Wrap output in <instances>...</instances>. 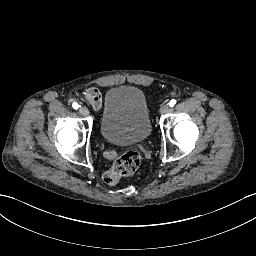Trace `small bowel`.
Returning a JSON list of instances; mask_svg holds the SVG:
<instances>
[{
    "label": "small bowel",
    "mask_w": 256,
    "mask_h": 256,
    "mask_svg": "<svg viewBox=\"0 0 256 256\" xmlns=\"http://www.w3.org/2000/svg\"><path fill=\"white\" fill-rule=\"evenodd\" d=\"M82 97L91 105L95 110H98L102 106L101 93L95 87H88L82 94Z\"/></svg>",
    "instance_id": "small-bowel-1"
}]
</instances>
